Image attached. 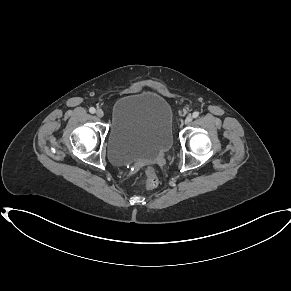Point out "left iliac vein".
Wrapping results in <instances>:
<instances>
[{
    "mask_svg": "<svg viewBox=\"0 0 291 291\" xmlns=\"http://www.w3.org/2000/svg\"><path fill=\"white\" fill-rule=\"evenodd\" d=\"M193 118L191 115H188L185 119V124H190L192 122Z\"/></svg>",
    "mask_w": 291,
    "mask_h": 291,
    "instance_id": "obj_1",
    "label": "left iliac vein"
}]
</instances>
